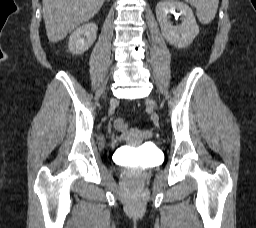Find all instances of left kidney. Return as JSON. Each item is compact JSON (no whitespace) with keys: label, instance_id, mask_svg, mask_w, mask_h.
Listing matches in <instances>:
<instances>
[{"label":"left kidney","instance_id":"left-kidney-1","mask_svg":"<svg viewBox=\"0 0 256 228\" xmlns=\"http://www.w3.org/2000/svg\"><path fill=\"white\" fill-rule=\"evenodd\" d=\"M175 10L184 17L179 26H173L168 20V13ZM156 17L165 40L177 48H185L190 45L199 33L191 8L183 2L164 0L157 3Z\"/></svg>","mask_w":256,"mask_h":228}]
</instances>
